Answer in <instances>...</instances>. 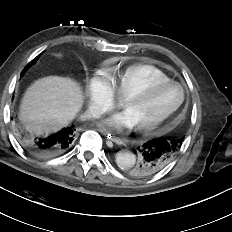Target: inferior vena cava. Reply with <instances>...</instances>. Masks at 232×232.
I'll use <instances>...</instances> for the list:
<instances>
[{
	"instance_id": "1",
	"label": "inferior vena cava",
	"mask_w": 232,
	"mask_h": 232,
	"mask_svg": "<svg viewBox=\"0 0 232 232\" xmlns=\"http://www.w3.org/2000/svg\"><path fill=\"white\" fill-rule=\"evenodd\" d=\"M89 113L95 118L100 117V115L102 114L101 109L96 105L89 107Z\"/></svg>"
}]
</instances>
